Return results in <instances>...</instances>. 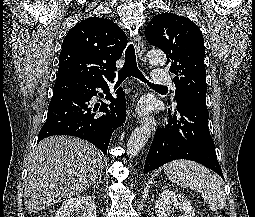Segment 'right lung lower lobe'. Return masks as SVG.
I'll use <instances>...</instances> for the list:
<instances>
[{
  "mask_svg": "<svg viewBox=\"0 0 255 217\" xmlns=\"http://www.w3.org/2000/svg\"><path fill=\"white\" fill-rule=\"evenodd\" d=\"M97 88L108 92L107 81L55 83L48 116L39 132L38 142L52 135L76 136L93 143L106 154L113 131L126 119V101L123 89L119 88L116 98L107 96L110 104L102 103L93 108L90 100L98 94Z\"/></svg>",
  "mask_w": 255,
  "mask_h": 217,
  "instance_id": "obj_1",
  "label": "right lung lower lobe"
}]
</instances>
